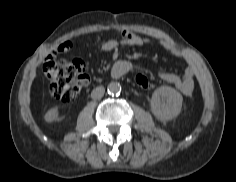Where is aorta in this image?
<instances>
[{
	"instance_id": "obj_1",
	"label": "aorta",
	"mask_w": 236,
	"mask_h": 182,
	"mask_svg": "<svg viewBox=\"0 0 236 182\" xmlns=\"http://www.w3.org/2000/svg\"><path fill=\"white\" fill-rule=\"evenodd\" d=\"M107 91L111 95H117L121 92V85L118 82H110L107 87Z\"/></svg>"
}]
</instances>
